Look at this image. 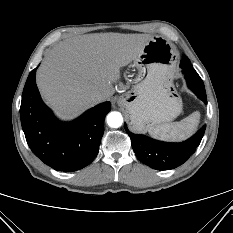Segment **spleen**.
<instances>
[{"mask_svg":"<svg viewBox=\"0 0 233 233\" xmlns=\"http://www.w3.org/2000/svg\"><path fill=\"white\" fill-rule=\"evenodd\" d=\"M199 121L200 113L195 111L179 122L152 126L148 129V132L156 139L182 141L190 137L196 131Z\"/></svg>","mask_w":233,"mask_h":233,"instance_id":"3e777b00","label":"spleen"}]
</instances>
